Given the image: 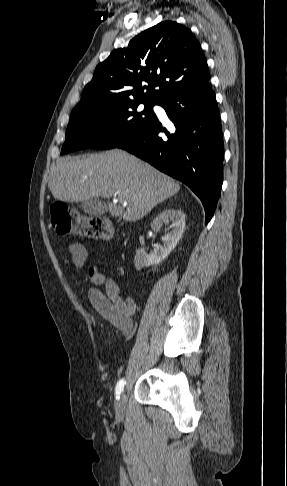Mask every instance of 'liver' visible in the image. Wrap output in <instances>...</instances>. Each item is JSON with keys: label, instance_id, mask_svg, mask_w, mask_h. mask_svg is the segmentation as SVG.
<instances>
[{"label": "liver", "instance_id": "6515ba94", "mask_svg": "<svg viewBox=\"0 0 287 486\" xmlns=\"http://www.w3.org/2000/svg\"><path fill=\"white\" fill-rule=\"evenodd\" d=\"M48 187L55 199L65 202L107 198L110 214L129 222L143 218L180 190L175 180L121 150L60 158ZM115 194L119 203L127 202L126 211L109 201Z\"/></svg>", "mask_w": 287, "mask_h": 486}]
</instances>
